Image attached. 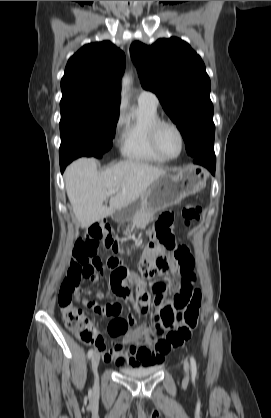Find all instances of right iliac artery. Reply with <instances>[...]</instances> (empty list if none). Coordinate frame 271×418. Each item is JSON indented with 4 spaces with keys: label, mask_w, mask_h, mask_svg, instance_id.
<instances>
[{
    "label": "right iliac artery",
    "mask_w": 271,
    "mask_h": 418,
    "mask_svg": "<svg viewBox=\"0 0 271 418\" xmlns=\"http://www.w3.org/2000/svg\"><path fill=\"white\" fill-rule=\"evenodd\" d=\"M93 354H94V350L93 349H90L89 351H88V358L90 359L92 356H93Z\"/></svg>",
    "instance_id": "82829eb1"
}]
</instances>
